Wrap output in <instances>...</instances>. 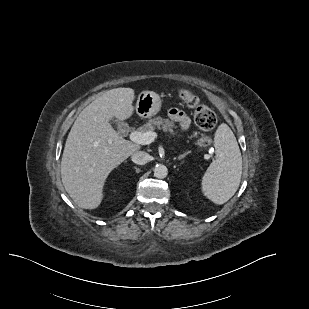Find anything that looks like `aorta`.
I'll return each mask as SVG.
<instances>
[{
    "mask_svg": "<svg viewBox=\"0 0 309 309\" xmlns=\"http://www.w3.org/2000/svg\"><path fill=\"white\" fill-rule=\"evenodd\" d=\"M168 174V169L165 165L163 164H158L155 166L154 168V176L156 178H159V179H163L167 176Z\"/></svg>",
    "mask_w": 309,
    "mask_h": 309,
    "instance_id": "aorta-1",
    "label": "aorta"
}]
</instances>
